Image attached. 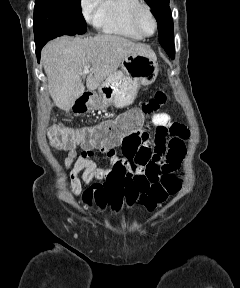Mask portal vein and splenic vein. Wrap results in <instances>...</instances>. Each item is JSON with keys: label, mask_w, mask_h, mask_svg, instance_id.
I'll use <instances>...</instances> for the list:
<instances>
[{"label": "portal vein and splenic vein", "mask_w": 240, "mask_h": 288, "mask_svg": "<svg viewBox=\"0 0 240 288\" xmlns=\"http://www.w3.org/2000/svg\"><path fill=\"white\" fill-rule=\"evenodd\" d=\"M90 66H85L83 69V74H87L89 72Z\"/></svg>", "instance_id": "obj_1"}]
</instances>
